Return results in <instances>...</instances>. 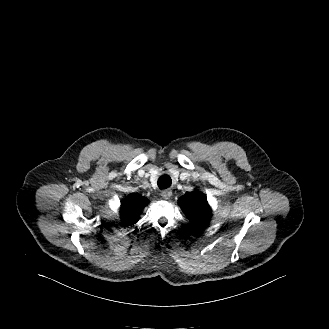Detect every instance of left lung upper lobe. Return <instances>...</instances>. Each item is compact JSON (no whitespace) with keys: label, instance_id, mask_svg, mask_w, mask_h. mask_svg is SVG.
<instances>
[{"label":"left lung upper lobe","instance_id":"5c2ea615","mask_svg":"<svg viewBox=\"0 0 329 329\" xmlns=\"http://www.w3.org/2000/svg\"><path fill=\"white\" fill-rule=\"evenodd\" d=\"M183 212L193 225L198 229H204L211 217V208L206 197L199 191L188 192L179 199Z\"/></svg>","mask_w":329,"mask_h":329}]
</instances>
